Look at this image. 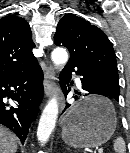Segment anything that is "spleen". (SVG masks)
Returning a JSON list of instances; mask_svg holds the SVG:
<instances>
[{
    "label": "spleen",
    "instance_id": "obj_1",
    "mask_svg": "<svg viewBox=\"0 0 130 153\" xmlns=\"http://www.w3.org/2000/svg\"><path fill=\"white\" fill-rule=\"evenodd\" d=\"M114 150L117 153H125L126 152V146H125V142L123 140L122 137H118L115 141H114Z\"/></svg>",
    "mask_w": 130,
    "mask_h": 153
}]
</instances>
